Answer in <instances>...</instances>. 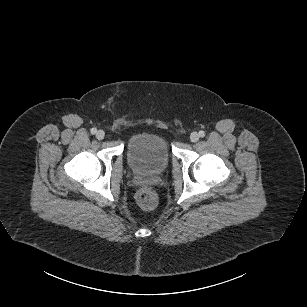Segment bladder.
Here are the masks:
<instances>
[{
  "label": "bladder",
  "mask_w": 307,
  "mask_h": 307,
  "mask_svg": "<svg viewBox=\"0 0 307 307\" xmlns=\"http://www.w3.org/2000/svg\"><path fill=\"white\" fill-rule=\"evenodd\" d=\"M127 161L139 174H157L168 165L171 149L161 134L142 132L134 135L127 145Z\"/></svg>",
  "instance_id": "31cf9c89"
}]
</instances>
